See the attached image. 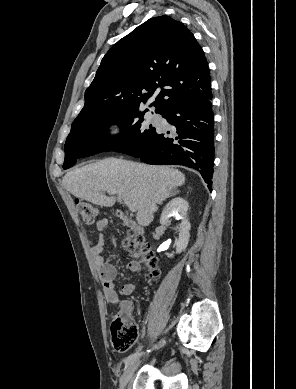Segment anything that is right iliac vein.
<instances>
[{"mask_svg":"<svg viewBox=\"0 0 296 389\" xmlns=\"http://www.w3.org/2000/svg\"><path fill=\"white\" fill-rule=\"evenodd\" d=\"M137 361H134L132 364L128 365L120 379V388L124 389V387L128 384L130 379L132 378L135 370L137 369L138 366Z\"/></svg>","mask_w":296,"mask_h":389,"instance_id":"1","label":"right iliac vein"}]
</instances>
